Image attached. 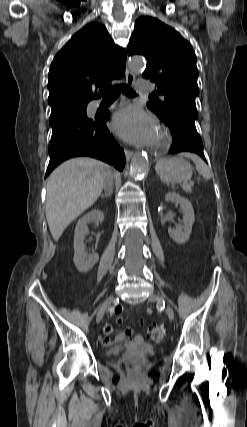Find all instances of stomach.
<instances>
[{
    "mask_svg": "<svg viewBox=\"0 0 247 427\" xmlns=\"http://www.w3.org/2000/svg\"><path fill=\"white\" fill-rule=\"evenodd\" d=\"M156 171L160 179L167 183L187 182L193 173L190 163L182 157L161 161Z\"/></svg>",
    "mask_w": 247,
    "mask_h": 427,
    "instance_id": "0dacf381",
    "label": "stomach"
}]
</instances>
